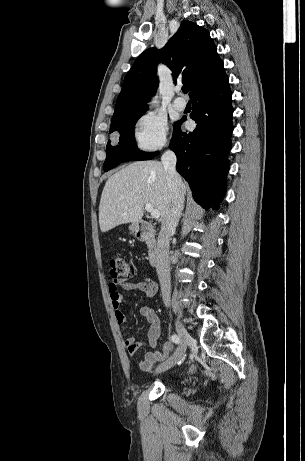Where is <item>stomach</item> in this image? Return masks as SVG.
<instances>
[{
  "instance_id": "0dacf381",
  "label": "stomach",
  "mask_w": 305,
  "mask_h": 461,
  "mask_svg": "<svg viewBox=\"0 0 305 461\" xmlns=\"http://www.w3.org/2000/svg\"><path fill=\"white\" fill-rule=\"evenodd\" d=\"M129 229H130L131 232H134V231L137 230V226H136V225H131V226L129 227Z\"/></svg>"
}]
</instances>
